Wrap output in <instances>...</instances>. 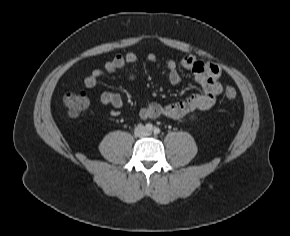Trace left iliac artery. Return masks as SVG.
<instances>
[{
	"label": "left iliac artery",
	"instance_id": "44dca946",
	"mask_svg": "<svg viewBox=\"0 0 290 236\" xmlns=\"http://www.w3.org/2000/svg\"><path fill=\"white\" fill-rule=\"evenodd\" d=\"M154 134L157 135L160 133V129L158 127H155L153 130Z\"/></svg>",
	"mask_w": 290,
	"mask_h": 236
}]
</instances>
